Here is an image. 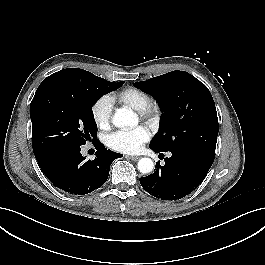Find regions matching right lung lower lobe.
Instances as JSON below:
<instances>
[{"label": "right lung lower lobe", "instance_id": "right-lung-lower-lobe-1", "mask_svg": "<svg viewBox=\"0 0 265 265\" xmlns=\"http://www.w3.org/2000/svg\"><path fill=\"white\" fill-rule=\"evenodd\" d=\"M96 158L85 161L80 147L58 148L35 154L42 172L55 187L83 195L101 187L107 180L111 162L122 154L107 150L97 141Z\"/></svg>", "mask_w": 265, "mask_h": 265}]
</instances>
